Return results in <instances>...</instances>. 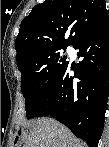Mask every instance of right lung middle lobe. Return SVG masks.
I'll return each instance as SVG.
<instances>
[{
    "label": "right lung middle lobe",
    "instance_id": "right-lung-middle-lobe-1",
    "mask_svg": "<svg viewBox=\"0 0 109 147\" xmlns=\"http://www.w3.org/2000/svg\"><path fill=\"white\" fill-rule=\"evenodd\" d=\"M59 50L44 52L33 62L19 68L28 119L36 116L50 88L68 64L66 56Z\"/></svg>",
    "mask_w": 109,
    "mask_h": 147
}]
</instances>
